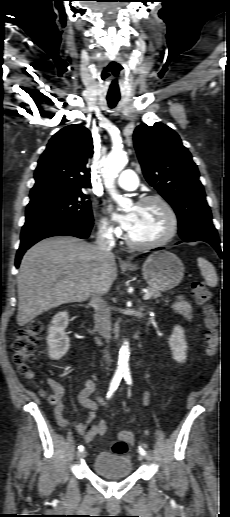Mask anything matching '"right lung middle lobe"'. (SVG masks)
I'll return each mask as SVG.
<instances>
[{
  "label": "right lung middle lobe",
  "instance_id": "dd1d6c3e",
  "mask_svg": "<svg viewBox=\"0 0 230 517\" xmlns=\"http://www.w3.org/2000/svg\"><path fill=\"white\" fill-rule=\"evenodd\" d=\"M87 198L82 190H77L32 199L27 205L26 221L45 217L93 220L91 204Z\"/></svg>",
  "mask_w": 230,
  "mask_h": 517
}]
</instances>
